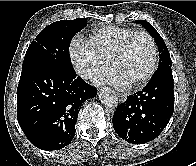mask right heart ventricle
<instances>
[{
	"instance_id": "right-heart-ventricle-1",
	"label": "right heart ventricle",
	"mask_w": 196,
	"mask_h": 166,
	"mask_svg": "<svg viewBox=\"0 0 196 166\" xmlns=\"http://www.w3.org/2000/svg\"><path fill=\"white\" fill-rule=\"evenodd\" d=\"M132 31L130 28L107 26L96 30L88 40L101 55L110 60L123 39Z\"/></svg>"
}]
</instances>
